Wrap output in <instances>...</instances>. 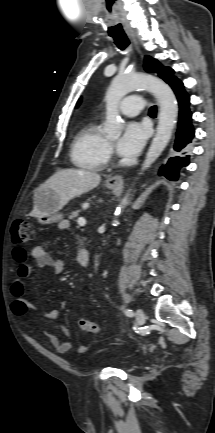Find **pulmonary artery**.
Segmentation results:
<instances>
[{
    "mask_svg": "<svg viewBox=\"0 0 215 433\" xmlns=\"http://www.w3.org/2000/svg\"><path fill=\"white\" fill-rule=\"evenodd\" d=\"M145 104L141 96L139 95H130L126 97L120 104V111L127 116H134L139 114Z\"/></svg>",
    "mask_w": 215,
    "mask_h": 433,
    "instance_id": "e3ab8cb5",
    "label": "pulmonary artery"
}]
</instances>
